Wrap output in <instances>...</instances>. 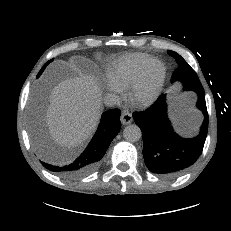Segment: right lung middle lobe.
<instances>
[{
	"label": "right lung middle lobe",
	"instance_id": "obj_1",
	"mask_svg": "<svg viewBox=\"0 0 231 231\" xmlns=\"http://www.w3.org/2000/svg\"><path fill=\"white\" fill-rule=\"evenodd\" d=\"M49 62H51V61H49ZM49 62H48V63H49ZM48 63H47V64H48ZM47 64H46V65H47ZM46 65H45V66H46ZM45 66L41 69V71L39 72V74L37 75V77H39V76L41 75V73H42L43 70L45 69Z\"/></svg>",
	"mask_w": 231,
	"mask_h": 231
}]
</instances>
